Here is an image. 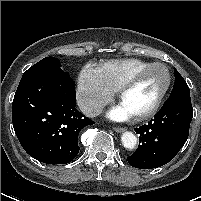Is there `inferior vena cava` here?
<instances>
[{"label": "inferior vena cava", "mask_w": 201, "mask_h": 201, "mask_svg": "<svg viewBox=\"0 0 201 201\" xmlns=\"http://www.w3.org/2000/svg\"><path fill=\"white\" fill-rule=\"evenodd\" d=\"M78 106L79 109L88 117H96L103 111V106L101 104L88 100H79Z\"/></svg>", "instance_id": "602c4592"}]
</instances>
